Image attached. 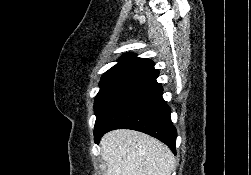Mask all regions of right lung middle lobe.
<instances>
[{"label": "right lung middle lobe", "mask_w": 251, "mask_h": 175, "mask_svg": "<svg viewBox=\"0 0 251 175\" xmlns=\"http://www.w3.org/2000/svg\"><path fill=\"white\" fill-rule=\"evenodd\" d=\"M137 80L132 77H114L101 79L95 103L94 112L96 115L95 130L98 129L99 123L102 120L108 107L122 94L128 87L136 83Z\"/></svg>", "instance_id": "dd1d6c3e"}]
</instances>
